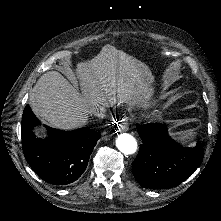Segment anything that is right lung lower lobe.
I'll return each instance as SVG.
<instances>
[{"label":"right lung lower lobe","mask_w":221,"mask_h":221,"mask_svg":"<svg viewBox=\"0 0 221 221\" xmlns=\"http://www.w3.org/2000/svg\"><path fill=\"white\" fill-rule=\"evenodd\" d=\"M40 126L29 105L22 116V145L25 158L34 172L53 185H66L85 171L100 134L89 128L62 131L45 125L47 137H36Z\"/></svg>","instance_id":"98d812e1"}]
</instances>
